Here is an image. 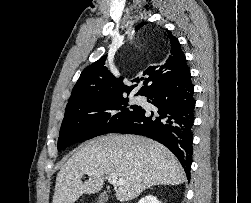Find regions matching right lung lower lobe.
<instances>
[{
    "label": "right lung lower lobe",
    "mask_w": 251,
    "mask_h": 203,
    "mask_svg": "<svg viewBox=\"0 0 251 203\" xmlns=\"http://www.w3.org/2000/svg\"><path fill=\"white\" fill-rule=\"evenodd\" d=\"M194 88L188 66L178 75L151 88L145 96L157 107L156 111L143 108L114 133H128L154 139L168 149L182 164L187 178L193 153Z\"/></svg>",
    "instance_id": "right-lung-lower-lobe-1"
}]
</instances>
